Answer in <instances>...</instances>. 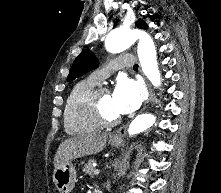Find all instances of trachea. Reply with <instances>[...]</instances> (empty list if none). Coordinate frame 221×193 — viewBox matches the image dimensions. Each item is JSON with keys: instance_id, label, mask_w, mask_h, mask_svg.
Masks as SVG:
<instances>
[{"instance_id": "obj_1", "label": "trachea", "mask_w": 221, "mask_h": 193, "mask_svg": "<svg viewBox=\"0 0 221 193\" xmlns=\"http://www.w3.org/2000/svg\"><path fill=\"white\" fill-rule=\"evenodd\" d=\"M133 68H138V64H135V65L133 66Z\"/></svg>"}]
</instances>
